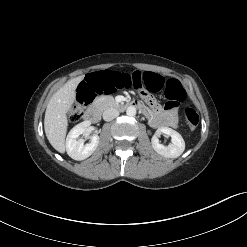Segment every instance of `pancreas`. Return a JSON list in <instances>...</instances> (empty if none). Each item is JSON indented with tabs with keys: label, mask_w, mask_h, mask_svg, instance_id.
I'll list each match as a JSON object with an SVG mask.
<instances>
[{
	"label": "pancreas",
	"mask_w": 247,
	"mask_h": 247,
	"mask_svg": "<svg viewBox=\"0 0 247 247\" xmlns=\"http://www.w3.org/2000/svg\"><path fill=\"white\" fill-rule=\"evenodd\" d=\"M115 104L116 102L114 101L113 97H101L95 103V105L102 110Z\"/></svg>",
	"instance_id": "1"
}]
</instances>
